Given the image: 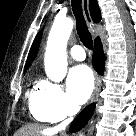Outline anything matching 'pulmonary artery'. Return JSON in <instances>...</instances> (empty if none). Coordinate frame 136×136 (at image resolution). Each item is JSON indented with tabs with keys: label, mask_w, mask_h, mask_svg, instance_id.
Returning <instances> with one entry per match:
<instances>
[{
	"label": "pulmonary artery",
	"mask_w": 136,
	"mask_h": 136,
	"mask_svg": "<svg viewBox=\"0 0 136 136\" xmlns=\"http://www.w3.org/2000/svg\"><path fill=\"white\" fill-rule=\"evenodd\" d=\"M70 55L76 60H84L85 52L79 45H75L70 49Z\"/></svg>",
	"instance_id": "pulmonary-artery-1"
}]
</instances>
